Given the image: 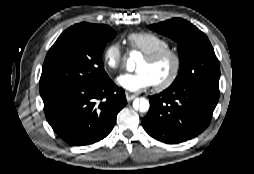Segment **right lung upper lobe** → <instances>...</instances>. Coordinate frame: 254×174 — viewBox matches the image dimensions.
<instances>
[{
  "label": "right lung upper lobe",
  "instance_id": "1",
  "mask_svg": "<svg viewBox=\"0 0 254 174\" xmlns=\"http://www.w3.org/2000/svg\"><path fill=\"white\" fill-rule=\"evenodd\" d=\"M80 24L91 27V28H96V29H102V28H105L106 26V25H95L90 23H80Z\"/></svg>",
  "mask_w": 254,
  "mask_h": 174
}]
</instances>
